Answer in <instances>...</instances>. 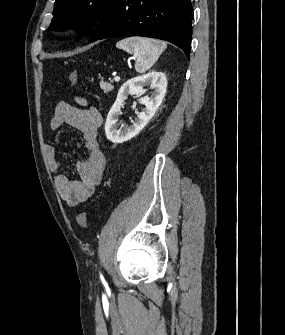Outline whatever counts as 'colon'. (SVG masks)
<instances>
[{"mask_svg": "<svg viewBox=\"0 0 285 335\" xmlns=\"http://www.w3.org/2000/svg\"><path fill=\"white\" fill-rule=\"evenodd\" d=\"M69 80L73 85H76L78 82V75L76 70H72L69 73ZM77 224L81 228H86L88 225V218H87V213L86 212H80L77 217H76Z\"/></svg>", "mask_w": 285, "mask_h": 335, "instance_id": "colon-1", "label": "colon"}]
</instances>
